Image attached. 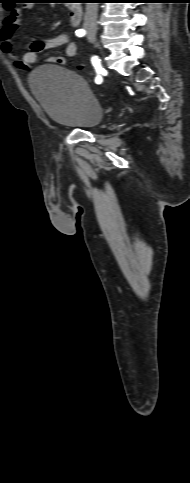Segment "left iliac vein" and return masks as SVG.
Segmentation results:
<instances>
[{"mask_svg": "<svg viewBox=\"0 0 190 483\" xmlns=\"http://www.w3.org/2000/svg\"><path fill=\"white\" fill-rule=\"evenodd\" d=\"M89 39H90V41H91V42H93V41H94V40H93L91 37H89Z\"/></svg>", "mask_w": 190, "mask_h": 483, "instance_id": "obj_1", "label": "left iliac vein"}]
</instances>
